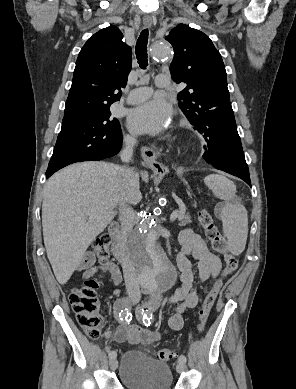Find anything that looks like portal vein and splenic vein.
<instances>
[{
    "instance_id": "18ae733b",
    "label": "portal vein and splenic vein",
    "mask_w": 296,
    "mask_h": 389,
    "mask_svg": "<svg viewBox=\"0 0 296 389\" xmlns=\"http://www.w3.org/2000/svg\"><path fill=\"white\" fill-rule=\"evenodd\" d=\"M181 210H183V208H180V210H175V211H173L172 214H171V216H170V220H171V221H174V220L178 217V215H179V213L181 212Z\"/></svg>"
}]
</instances>
